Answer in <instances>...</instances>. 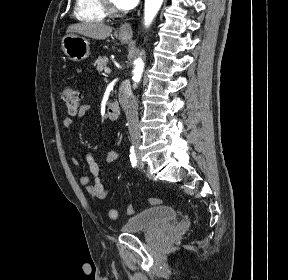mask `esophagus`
Listing matches in <instances>:
<instances>
[{"label":"esophagus","instance_id":"obj_1","mask_svg":"<svg viewBox=\"0 0 288 280\" xmlns=\"http://www.w3.org/2000/svg\"><path fill=\"white\" fill-rule=\"evenodd\" d=\"M118 34L122 38L131 39L133 36L132 25L130 19H127L119 27Z\"/></svg>","mask_w":288,"mask_h":280}]
</instances>
